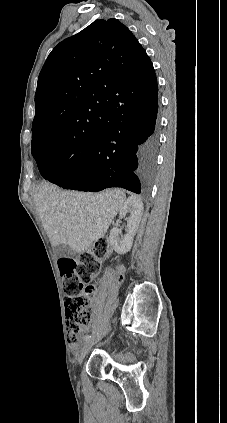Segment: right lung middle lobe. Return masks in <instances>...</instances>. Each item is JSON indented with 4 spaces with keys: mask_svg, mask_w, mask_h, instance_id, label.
I'll return each mask as SVG.
<instances>
[{
    "mask_svg": "<svg viewBox=\"0 0 227 423\" xmlns=\"http://www.w3.org/2000/svg\"><path fill=\"white\" fill-rule=\"evenodd\" d=\"M93 147V143L72 146L59 137H43L32 142L31 152L38 168H48V172L41 175L49 180L70 170L76 162L88 156Z\"/></svg>",
    "mask_w": 227,
    "mask_h": 423,
    "instance_id": "right-lung-middle-lobe-1",
    "label": "right lung middle lobe"
}]
</instances>
